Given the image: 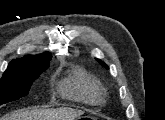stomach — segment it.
<instances>
[{
    "label": "stomach",
    "instance_id": "1",
    "mask_svg": "<svg viewBox=\"0 0 165 120\" xmlns=\"http://www.w3.org/2000/svg\"><path fill=\"white\" fill-rule=\"evenodd\" d=\"M79 119H92V120H95V118L94 117H91V116L78 117L76 120H79Z\"/></svg>",
    "mask_w": 165,
    "mask_h": 120
}]
</instances>
